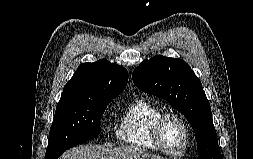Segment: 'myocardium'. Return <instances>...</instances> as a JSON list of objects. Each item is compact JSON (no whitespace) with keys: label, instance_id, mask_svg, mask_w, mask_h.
<instances>
[{"label":"myocardium","instance_id":"f54148a6","mask_svg":"<svg viewBox=\"0 0 253 159\" xmlns=\"http://www.w3.org/2000/svg\"><path fill=\"white\" fill-rule=\"evenodd\" d=\"M168 118H175L180 122L184 129L185 141L182 149L179 152H171L167 150L161 140V129L164 121ZM151 138L154 142L155 146L164 154L170 157H181L187 151L190 144V128L186 122V120L178 113L173 111H165L162 112L153 122L151 127Z\"/></svg>","mask_w":253,"mask_h":159}]
</instances>
